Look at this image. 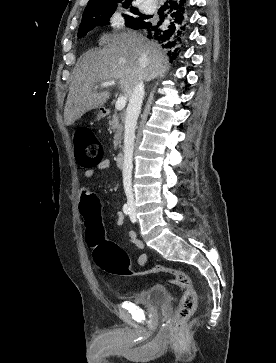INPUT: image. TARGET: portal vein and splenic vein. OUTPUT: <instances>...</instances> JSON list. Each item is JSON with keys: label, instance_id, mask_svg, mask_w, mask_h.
Returning <instances> with one entry per match:
<instances>
[{"label": "portal vein and splenic vein", "instance_id": "18ae733b", "mask_svg": "<svg viewBox=\"0 0 276 363\" xmlns=\"http://www.w3.org/2000/svg\"><path fill=\"white\" fill-rule=\"evenodd\" d=\"M115 84H116V81L111 80V81L103 82L100 86L102 88H107L110 86H114ZM96 88H98V86H96ZM126 103H127V98L125 96H120V97H118V99L116 101L115 108L118 111H121L126 106Z\"/></svg>", "mask_w": 276, "mask_h": 363}]
</instances>
